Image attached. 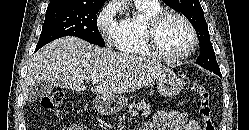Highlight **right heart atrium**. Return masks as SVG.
Instances as JSON below:
<instances>
[{
  "label": "right heart atrium",
  "mask_w": 249,
  "mask_h": 130,
  "mask_svg": "<svg viewBox=\"0 0 249 130\" xmlns=\"http://www.w3.org/2000/svg\"><path fill=\"white\" fill-rule=\"evenodd\" d=\"M117 6L113 2L107 3L96 16V26L103 33L105 39L112 43L118 22L116 20Z\"/></svg>",
  "instance_id": "right-heart-atrium-1"
}]
</instances>
